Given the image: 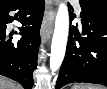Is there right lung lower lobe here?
I'll return each instance as SVG.
<instances>
[{
	"label": "right lung lower lobe",
	"instance_id": "98d812e1",
	"mask_svg": "<svg viewBox=\"0 0 107 89\" xmlns=\"http://www.w3.org/2000/svg\"><path fill=\"white\" fill-rule=\"evenodd\" d=\"M16 10L24 26L19 30L25 38L12 42V39L5 40L6 24L13 21L9 12ZM43 13L44 0H9L0 4V74L19 82L25 89L33 86Z\"/></svg>",
	"mask_w": 107,
	"mask_h": 89
}]
</instances>
